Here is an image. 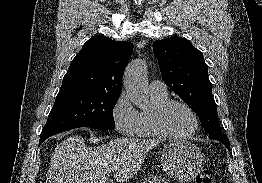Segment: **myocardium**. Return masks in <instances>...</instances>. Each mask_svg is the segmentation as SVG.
<instances>
[{
    "label": "myocardium",
    "mask_w": 262,
    "mask_h": 183,
    "mask_svg": "<svg viewBox=\"0 0 262 183\" xmlns=\"http://www.w3.org/2000/svg\"><path fill=\"white\" fill-rule=\"evenodd\" d=\"M173 105H181L185 107L192 115L194 119V126L193 128L184 134H173L169 132L164 124V118L167 111ZM199 117L194 108L188 104L187 102L180 100V99H167L165 102L157 106L153 113H152V125L155 132L158 134L159 137L166 138V139H185L192 135H194L198 128H199Z\"/></svg>",
    "instance_id": "myocardium-1"
}]
</instances>
